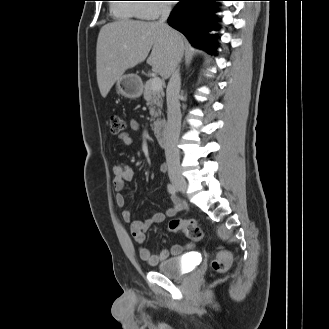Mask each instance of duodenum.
<instances>
[{"mask_svg": "<svg viewBox=\"0 0 329 329\" xmlns=\"http://www.w3.org/2000/svg\"><path fill=\"white\" fill-rule=\"evenodd\" d=\"M152 129L155 134V137L157 138L158 142L165 148L168 147V135L166 130L165 123L160 120L156 119L152 123Z\"/></svg>", "mask_w": 329, "mask_h": 329, "instance_id": "1", "label": "duodenum"}]
</instances>
